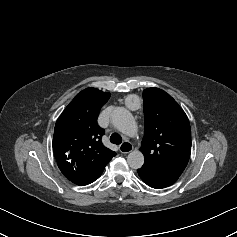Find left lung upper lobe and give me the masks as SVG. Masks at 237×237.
I'll list each match as a JSON object with an SVG mask.
<instances>
[{
	"instance_id": "obj_1",
	"label": "left lung upper lobe",
	"mask_w": 237,
	"mask_h": 237,
	"mask_svg": "<svg viewBox=\"0 0 237 237\" xmlns=\"http://www.w3.org/2000/svg\"><path fill=\"white\" fill-rule=\"evenodd\" d=\"M145 166L179 177L191 153V128L176 101L159 88L143 91Z\"/></svg>"
}]
</instances>
